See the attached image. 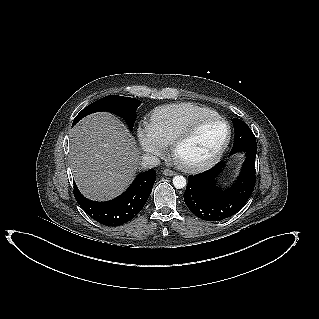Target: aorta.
<instances>
[{"label":"aorta","mask_w":319,"mask_h":319,"mask_svg":"<svg viewBox=\"0 0 319 319\" xmlns=\"http://www.w3.org/2000/svg\"><path fill=\"white\" fill-rule=\"evenodd\" d=\"M173 185L175 186V188L177 189H181L184 188L186 186V179L183 176H175L173 178Z\"/></svg>","instance_id":"aorta-1"}]
</instances>
